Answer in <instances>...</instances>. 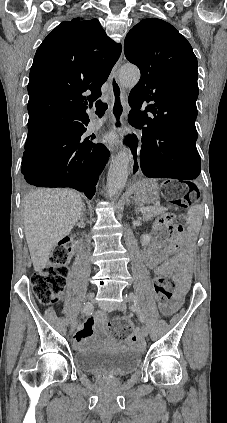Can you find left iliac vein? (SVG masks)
Returning a JSON list of instances; mask_svg holds the SVG:
<instances>
[{"label":"left iliac vein","instance_id":"1","mask_svg":"<svg viewBox=\"0 0 227 423\" xmlns=\"http://www.w3.org/2000/svg\"><path fill=\"white\" fill-rule=\"evenodd\" d=\"M118 308L120 309V310H122V311H125L126 309H127V307H126V301H123V302H121L120 304H119V306H118ZM135 307H134V311H135ZM142 336L143 337H147V335H148V328L146 327V326H142Z\"/></svg>","mask_w":227,"mask_h":423}]
</instances>
